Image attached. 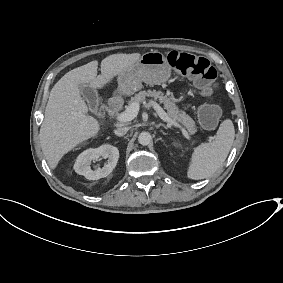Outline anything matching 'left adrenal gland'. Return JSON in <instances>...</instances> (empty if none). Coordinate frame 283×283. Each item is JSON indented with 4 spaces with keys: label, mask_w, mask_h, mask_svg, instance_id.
Returning <instances> with one entry per match:
<instances>
[{
    "label": "left adrenal gland",
    "mask_w": 283,
    "mask_h": 283,
    "mask_svg": "<svg viewBox=\"0 0 283 283\" xmlns=\"http://www.w3.org/2000/svg\"><path fill=\"white\" fill-rule=\"evenodd\" d=\"M160 126H163L165 129H168V128H169V126H166V125L163 124V123H159V124H156V125H155L156 128H159Z\"/></svg>",
    "instance_id": "a2214340"
}]
</instances>
